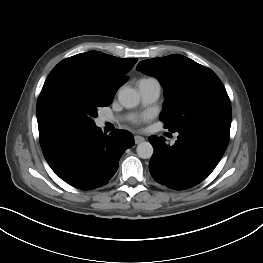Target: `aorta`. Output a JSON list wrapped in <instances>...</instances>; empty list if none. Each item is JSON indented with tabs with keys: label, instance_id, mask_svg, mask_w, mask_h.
Instances as JSON below:
<instances>
[{
	"label": "aorta",
	"instance_id": "aorta-1",
	"mask_svg": "<svg viewBox=\"0 0 263 263\" xmlns=\"http://www.w3.org/2000/svg\"><path fill=\"white\" fill-rule=\"evenodd\" d=\"M118 100L122 106L133 108L138 105L140 96L136 90L124 87L119 90ZM136 151L140 158L149 159L152 157L154 149L149 142H141L138 144Z\"/></svg>",
	"mask_w": 263,
	"mask_h": 263
}]
</instances>
